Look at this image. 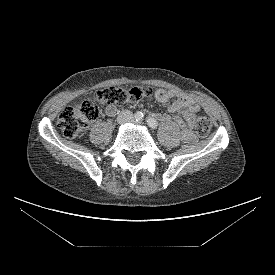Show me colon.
<instances>
[{"instance_id":"1","label":"colon","mask_w":275,"mask_h":275,"mask_svg":"<svg viewBox=\"0 0 275 275\" xmlns=\"http://www.w3.org/2000/svg\"><path fill=\"white\" fill-rule=\"evenodd\" d=\"M152 90L143 88L107 87L95 93V101L101 104H128L136 103L143 97L150 96ZM98 117V108L92 101H84L63 109L57 117V126L67 138H75ZM211 128L209 119L199 115L195 119V130L199 136H206Z\"/></svg>"}]
</instances>
